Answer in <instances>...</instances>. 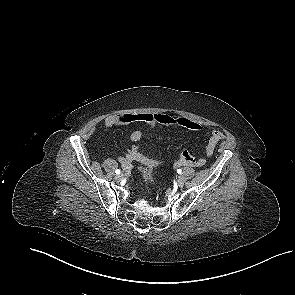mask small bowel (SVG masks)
<instances>
[{
	"mask_svg": "<svg viewBox=\"0 0 295 295\" xmlns=\"http://www.w3.org/2000/svg\"><path fill=\"white\" fill-rule=\"evenodd\" d=\"M140 122L147 126L150 130L158 125L174 128H182L191 131H203L204 127L192 120L185 117H174L165 113H133V114H115L109 115L104 120V126L106 128H112L114 126L126 125L129 123ZM143 132L141 130H135L130 135V140L133 143L138 142L142 138ZM224 134L214 129L209 132V137L205 147V155L211 157L216 149L217 144L224 139ZM121 166L125 170H129L132 162H145L146 158L138 151L136 145H132L127 152L118 158ZM206 163L204 157L194 158L188 152L181 153L175 164L178 166H193L202 167Z\"/></svg>",
	"mask_w": 295,
	"mask_h": 295,
	"instance_id": "c3829d8e",
	"label": "small bowel"
}]
</instances>
